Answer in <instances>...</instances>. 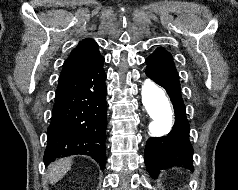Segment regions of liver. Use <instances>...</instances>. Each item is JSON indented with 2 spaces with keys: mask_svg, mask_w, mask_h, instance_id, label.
<instances>
[{
  "mask_svg": "<svg viewBox=\"0 0 238 190\" xmlns=\"http://www.w3.org/2000/svg\"><path fill=\"white\" fill-rule=\"evenodd\" d=\"M71 158H64L53 162L48 168V179L50 184L57 183L70 170Z\"/></svg>",
  "mask_w": 238,
  "mask_h": 190,
  "instance_id": "obj_1",
  "label": "liver"
}]
</instances>
